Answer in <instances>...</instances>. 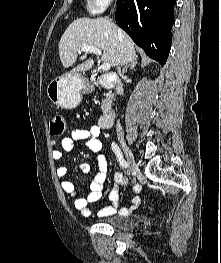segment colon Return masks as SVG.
Returning a JSON list of instances; mask_svg holds the SVG:
<instances>
[{
    "instance_id": "5ec220e1",
    "label": "colon",
    "mask_w": 221,
    "mask_h": 263,
    "mask_svg": "<svg viewBox=\"0 0 221 263\" xmlns=\"http://www.w3.org/2000/svg\"><path fill=\"white\" fill-rule=\"evenodd\" d=\"M49 131L51 136L59 137L66 131V121L60 114H55L49 121Z\"/></svg>"
}]
</instances>
